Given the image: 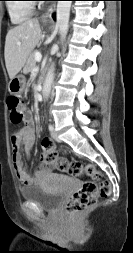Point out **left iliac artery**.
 <instances>
[{
  "label": "left iliac artery",
  "instance_id": "obj_1",
  "mask_svg": "<svg viewBox=\"0 0 133 253\" xmlns=\"http://www.w3.org/2000/svg\"><path fill=\"white\" fill-rule=\"evenodd\" d=\"M53 128H54L53 125L50 124V125H49V130L52 131Z\"/></svg>",
  "mask_w": 133,
  "mask_h": 253
}]
</instances>
